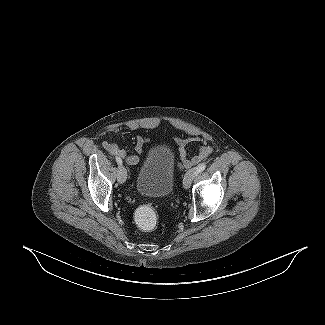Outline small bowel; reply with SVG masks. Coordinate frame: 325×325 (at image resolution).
Returning a JSON list of instances; mask_svg holds the SVG:
<instances>
[{"label":"small bowel","instance_id":"1","mask_svg":"<svg viewBox=\"0 0 325 325\" xmlns=\"http://www.w3.org/2000/svg\"><path fill=\"white\" fill-rule=\"evenodd\" d=\"M149 139L145 136H138L135 144V151L137 154H126L125 151L115 142L106 140L103 142L104 149L112 155H118L125 159L126 163L130 166H135L138 164L140 158L139 155L143 153V146ZM201 138L199 137H191L188 139H180L177 141L183 164L186 167H191L193 165L198 164L201 160L206 159L212 152V149L208 145H203L198 154L193 157H188L186 153V145L189 142H199Z\"/></svg>","mask_w":325,"mask_h":325}]
</instances>
